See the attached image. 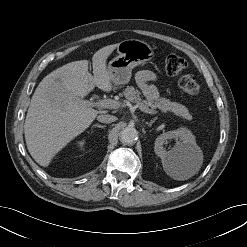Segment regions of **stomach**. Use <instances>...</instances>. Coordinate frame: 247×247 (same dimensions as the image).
Instances as JSON below:
<instances>
[{"mask_svg":"<svg viewBox=\"0 0 247 247\" xmlns=\"http://www.w3.org/2000/svg\"><path fill=\"white\" fill-rule=\"evenodd\" d=\"M118 56L108 64V74L115 86L126 84L132 76V69L150 61L154 56L153 48L138 39H126L117 46Z\"/></svg>","mask_w":247,"mask_h":247,"instance_id":"stomach-1","label":"stomach"}]
</instances>
